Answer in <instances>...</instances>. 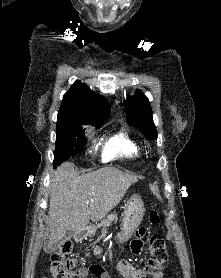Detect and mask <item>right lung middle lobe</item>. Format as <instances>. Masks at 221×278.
<instances>
[{"label":"right lung middle lobe","instance_id":"dd1d6c3e","mask_svg":"<svg viewBox=\"0 0 221 278\" xmlns=\"http://www.w3.org/2000/svg\"><path fill=\"white\" fill-rule=\"evenodd\" d=\"M83 121L57 119V140L53 165L56 167L76 155L86 144ZM99 128L102 124H91Z\"/></svg>","mask_w":221,"mask_h":278}]
</instances>
